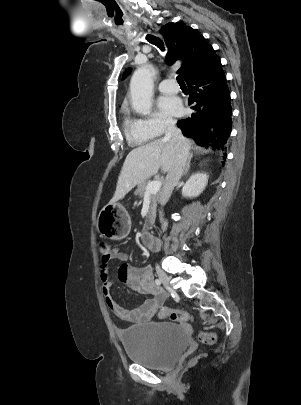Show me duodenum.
<instances>
[{
    "mask_svg": "<svg viewBox=\"0 0 301 405\" xmlns=\"http://www.w3.org/2000/svg\"><path fill=\"white\" fill-rule=\"evenodd\" d=\"M142 240L144 245L151 249V250H158L159 249V242L156 239V237L154 235H152L151 233H144L142 235Z\"/></svg>",
    "mask_w": 301,
    "mask_h": 405,
    "instance_id": "1",
    "label": "duodenum"
}]
</instances>
